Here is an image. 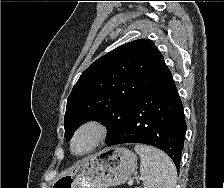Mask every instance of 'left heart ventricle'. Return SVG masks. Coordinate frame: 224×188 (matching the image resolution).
<instances>
[{
    "label": "left heart ventricle",
    "instance_id": "b2bd125f",
    "mask_svg": "<svg viewBox=\"0 0 224 188\" xmlns=\"http://www.w3.org/2000/svg\"><path fill=\"white\" fill-rule=\"evenodd\" d=\"M95 134L92 130L83 131L75 140L74 151L77 153L85 151L94 141Z\"/></svg>",
    "mask_w": 224,
    "mask_h": 188
}]
</instances>
